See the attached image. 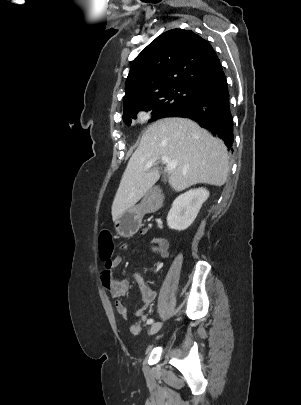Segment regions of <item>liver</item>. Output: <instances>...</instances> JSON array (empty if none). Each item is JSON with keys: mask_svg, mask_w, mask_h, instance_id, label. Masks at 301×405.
I'll use <instances>...</instances> for the list:
<instances>
[{"mask_svg": "<svg viewBox=\"0 0 301 405\" xmlns=\"http://www.w3.org/2000/svg\"><path fill=\"white\" fill-rule=\"evenodd\" d=\"M166 156L177 160L169 177L177 192L198 183L222 186L228 177L229 156L222 140L186 118H164L150 125L141 137L122 176L112 204L114 222L147 193L160 177L159 168L146 163Z\"/></svg>", "mask_w": 301, "mask_h": 405, "instance_id": "obj_1", "label": "liver"}]
</instances>
